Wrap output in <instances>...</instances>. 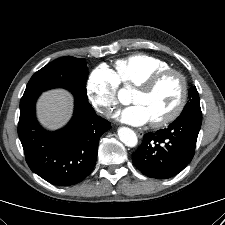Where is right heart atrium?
<instances>
[{
    "label": "right heart atrium",
    "mask_w": 225,
    "mask_h": 225,
    "mask_svg": "<svg viewBox=\"0 0 225 225\" xmlns=\"http://www.w3.org/2000/svg\"><path fill=\"white\" fill-rule=\"evenodd\" d=\"M119 83L112 70L100 66L90 74L87 81V94L93 107L111 116L117 104Z\"/></svg>",
    "instance_id": "obj_1"
}]
</instances>
